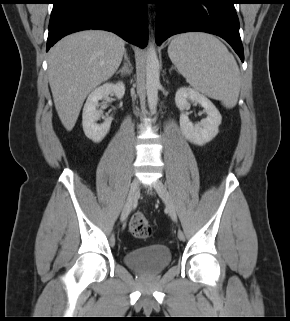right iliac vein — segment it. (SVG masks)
<instances>
[{
  "label": "right iliac vein",
  "instance_id": "right-iliac-vein-1",
  "mask_svg": "<svg viewBox=\"0 0 290 321\" xmlns=\"http://www.w3.org/2000/svg\"><path fill=\"white\" fill-rule=\"evenodd\" d=\"M138 191H139V181L137 179H134L131 183L130 191L128 193L127 199L122 209V213H121L122 221L127 219L135 202L137 201Z\"/></svg>",
  "mask_w": 290,
  "mask_h": 321
}]
</instances>
